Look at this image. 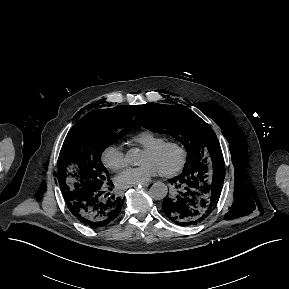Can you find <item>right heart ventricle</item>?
I'll return each mask as SVG.
<instances>
[{
	"label": "right heart ventricle",
	"mask_w": 289,
	"mask_h": 289,
	"mask_svg": "<svg viewBox=\"0 0 289 289\" xmlns=\"http://www.w3.org/2000/svg\"><path fill=\"white\" fill-rule=\"evenodd\" d=\"M165 140V137L158 135L149 129L141 130L131 136V141L144 149L155 146Z\"/></svg>",
	"instance_id": "1"
}]
</instances>
